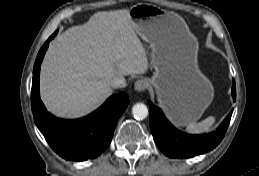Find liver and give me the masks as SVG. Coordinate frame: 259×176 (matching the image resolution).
Masks as SVG:
<instances>
[{
    "label": "liver",
    "mask_w": 259,
    "mask_h": 176,
    "mask_svg": "<svg viewBox=\"0 0 259 176\" xmlns=\"http://www.w3.org/2000/svg\"><path fill=\"white\" fill-rule=\"evenodd\" d=\"M129 9L97 12L54 39L42 62L40 96L49 111L76 118L97 109L115 77L148 71Z\"/></svg>",
    "instance_id": "liver-1"
}]
</instances>
